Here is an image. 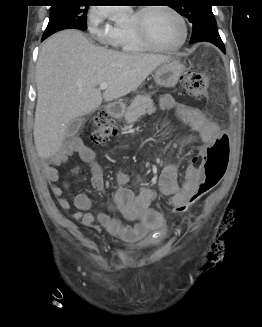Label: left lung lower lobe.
<instances>
[{
  "label": "left lung lower lobe",
  "instance_id": "0a47b994",
  "mask_svg": "<svg viewBox=\"0 0 262 327\" xmlns=\"http://www.w3.org/2000/svg\"><path fill=\"white\" fill-rule=\"evenodd\" d=\"M205 21L206 22H204V24H200L193 30L190 43L208 41L216 45L220 50H222V52L225 53V47L217 31L214 16L206 18Z\"/></svg>",
  "mask_w": 262,
  "mask_h": 327
}]
</instances>
